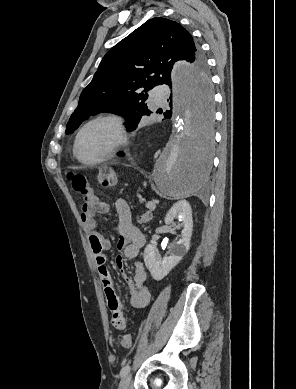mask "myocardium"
<instances>
[{"label":"myocardium","mask_w":296,"mask_h":389,"mask_svg":"<svg viewBox=\"0 0 296 389\" xmlns=\"http://www.w3.org/2000/svg\"><path fill=\"white\" fill-rule=\"evenodd\" d=\"M99 122H107L113 126L115 130V139L111 143V145L102 153L101 156H99L94 160H85L81 158L78 154V146H79L80 138L88 127ZM126 142H127V131H126L124 119L120 115L113 114V113L101 114L90 119L80 127L75 137L73 153L79 162L86 165H96L112 157L122 146L125 145Z\"/></svg>","instance_id":"f54148a6"}]
</instances>
